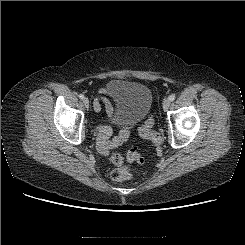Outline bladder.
<instances>
[{"instance_id":"31cf9c89","label":"bladder","mask_w":245,"mask_h":245,"mask_svg":"<svg viewBox=\"0 0 245 245\" xmlns=\"http://www.w3.org/2000/svg\"><path fill=\"white\" fill-rule=\"evenodd\" d=\"M111 90L115 98V107L118 108L117 114L122 120L139 122L149 114L152 93L146 85L138 82L117 81L111 84ZM112 108L114 110L113 106Z\"/></svg>"}]
</instances>
